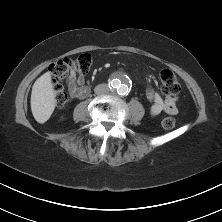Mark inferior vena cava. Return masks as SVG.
Segmentation results:
<instances>
[{"label": "inferior vena cava", "instance_id": "1", "mask_svg": "<svg viewBox=\"0 0 222 222\" xmlns=\"http://www.w3.org/2000/svg\"><path fill=\"white\" fill-rule=\"evenodd\" d=\"M97 95H106L110 92V89L107 84H99L94 89Z\"/></svg>", "mask_w": 222, "mask_h": 222}]
</instances>
